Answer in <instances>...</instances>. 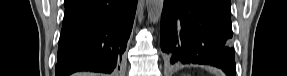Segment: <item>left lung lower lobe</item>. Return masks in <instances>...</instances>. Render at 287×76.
<instances>
[{"label":"left lung lower lobe","instance_id":"left-lung-lower-lobe-1","mask_svg":"<svg viewBox=\"0 0 287 76\" xmlns=\"http://www.w3.org/2000/svg\"><path fill=\"white\" fill-rule=\"evenodd\" d=\"M160 34L170 63L210 64L235 76L230 15L209 0H164Z\"/></svg>","mask_w":287,"mask_h":76}]
</instances>
